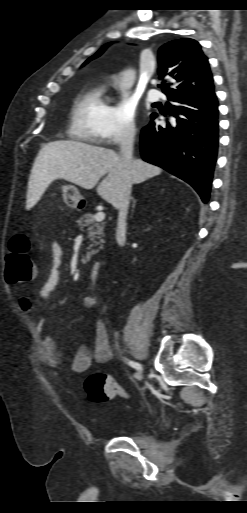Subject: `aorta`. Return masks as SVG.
I'll list each match as a JSON object with an SVG mask.
<instances>
[{
	"instance_id": "762f6f07",
	"label": "aorta",
	"mask_w": 247,
	"mask_h": 513,
	"mask_svg": "<svg viewBox=\"0 0 247 513\" xmlns=\"http://www.w3.org/2000/svg\"><path fill=\"white\" fill-rule=\"evenodd\" d=\"M136 73L133 69H127L121 74L120 89L122 91L130 89L135 81Z\"/></svg>"
}]
</instances>
